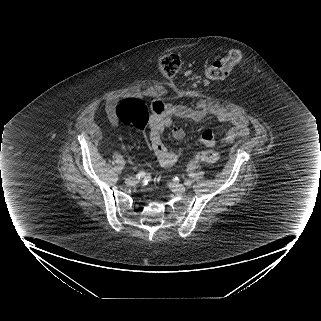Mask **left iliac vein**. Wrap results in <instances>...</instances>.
<instances>
[{
    "instance_id": "4c4485c4",
    "label": "left iliac vein",
    "mask_w": 321,
    "mask_h": 321,
    "mask_svg": "<svg viewBox=\"0 0 321 321\" xmlns=\"http://www.w3.org/2000/svg\"><path fill=\"white\" fill-rule=\"evenodd\" d=\"M170 187L174 193L179 195L184 194L186 191V187L182 184L171 183Z\"/></svg>"
}]
</instances>
